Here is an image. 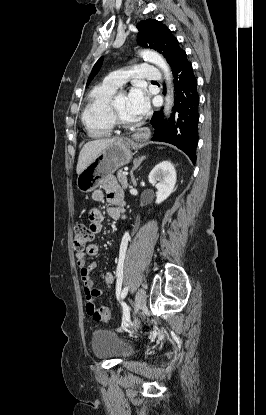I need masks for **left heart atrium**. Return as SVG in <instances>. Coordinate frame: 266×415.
Here are the masks:
<instances>
[{
    "label": "left heart atrium",
    "mask_w": 266,
    "mask_h": 415,
    "mask_svg": "<svg viewBox=\"0 0 266 415\" xmlns=\"http://www.w3.org/2000/svg\"><path fill=\"white\" fill-rule=\"evenodd\" d=\"M129 108L138 117L143 116L149 109V102L144 88L135 86L128 94Z\"/></svg>",
    "instance_id": "1"
}]
</instances>
